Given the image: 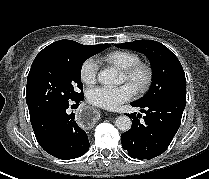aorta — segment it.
<instances>
[{"mask_svg": "<svg viewBox=\"0 0 209 179\" xmlns=\"http://www.w3.org/2000/svg\"><path fill=\"white\" fill-rule=\"evenodd\" d=\"M98 81L105 86H113L120 83V78L116 70L104 69L99 72ZM115 125L121 131H128L132 126V121L128 116L122 115L116 119Z\"/></svg>", "mask_w": 209, "mask_h": 179, "instance_id": "1", "label": "aorta"}]
</instances>
